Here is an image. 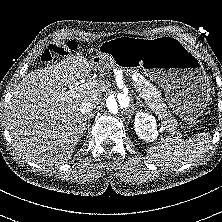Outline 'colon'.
<instances>
[{"mask_svg":"<svg viewBox=\"0 0 222 222\" xmlns=\"http://www.w3.org/2000/svg\"><path fill=\"white\" fill-rule=\"evenodd\" d=\"M77 44L74 41H69L63 45H49L42 53L41 60L45 63H53L57 59L64 57L75 50Z\"/></svg>","mask_w":222,"mask_h":222,"instance_id":"1","label":"colon"}]
</instances>
